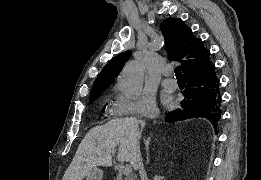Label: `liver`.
Returning <instances> with one entry per match:
<instances>
[{"label": "liver", "instance_id": "1", "mask_svg": "<svg viewBox=\"0 0 261 180\" xmlns=\"http://www.w3.org/2000/svg\"><path fill=\"white\" fill-rule=\"evenodd\" d=\"M139 124L144 128V122L137 118H115L89 130L74 156L68 180H83L96 166H112L116 150L119 162H130L132 168H136L142 134Z\"/></svg>", "mask_w": 261, "mask_h": 180}]
</instances>
